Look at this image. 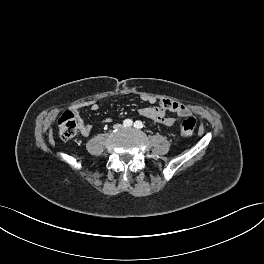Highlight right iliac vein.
Instances as JSON below:
<instances>
[{
  "label": "right iliac vein",
  "instance_id": "obj_1",
  "mask_svg": "<svg viewBox=\"0 0 264 264\" xmlns=\"http://www.w3.org/2000/svg\"><path fill=\"white\" fill-rule=\"evenodd\" d=\"M114 128H115V129H122V125H121V124H116V125L114 126Z\"/></svg>",
  "mask_w": 264,
  "mask_h": 264
}]
</instances>
